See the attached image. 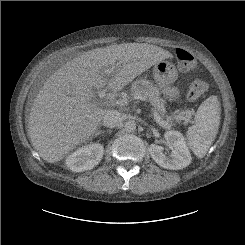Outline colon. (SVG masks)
I'll return each mask as SVG.
<instances>
[{"instance_id":"obj_1","label":"colon","mask_w":245,"mask_h":245,"mask_svg":"<svg viewBox=\"0 0 245 245\" xmlns=\"http://www.w3.org/2000/svg\"><path fill=\"white\" fill-rule=\"evenodd\" d=\"M179 69L183 72H190L196 68V59L193 54L184 49L179 48L176 50ZM208 89V85L203 80L193 81L187 89V97L190 100L197 99L202 96Z\"/></svg>"}]
</instances>
